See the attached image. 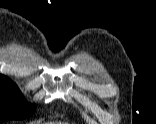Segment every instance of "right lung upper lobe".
Wrapping results in <instances>:
<instances>
[{
  "label": "right lung upper lobe",
  "mask_w": 156,
  "mask_h": 124,
  "mask_svg": "<svg viewBox=\"0 0 156 124\" xmlns=\"http://www.w3.org/2000/svg\"><path fill=\"white\" fill-rule=\"evenodd\" d=\"M0 78H8V77L0 74Z\"/></svg>",
  "instance_id": "obj_1"
}]
</instances>
